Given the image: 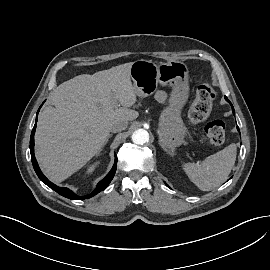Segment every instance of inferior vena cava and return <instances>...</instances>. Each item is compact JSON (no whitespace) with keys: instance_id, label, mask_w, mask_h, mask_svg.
<instances>
[{"instance_id":"obj_1","label":"inferior vena cava","mask_w":270,"mask_h":270,"mask_svg":"<svg viewBox=\"0 0 270 270\" xmlns=\"http://www.w3.org/2000/svg\"><path fill=\"white\" fill-rule=\"evenodd\" d=\"M128 126V122L127 121H119V122H115L111 125L110 127V131L111 132H118V131H122L125 130Z\"/></svg>"}]
</instances>
